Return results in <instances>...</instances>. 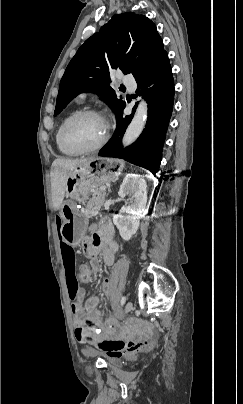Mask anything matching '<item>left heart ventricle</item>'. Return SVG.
<instances>
[{
  "label": "left heart ventricle",
  "mask_w": 243,
  "mask_h": 404,
  "mask_svg": "<svg viewBox=\"0 0 243 404\" xmlns=\"http://www.w3.org/2000/svg\"><path fill=\"white\" fill-rule=\"evenodd\" d=\"M105 131L102 118L84 116L75 120L68 127L67 136L79 145L91 147L102 140Z\"/></svg>",
  "instance_id": "obj_1"
}]
</instances>
